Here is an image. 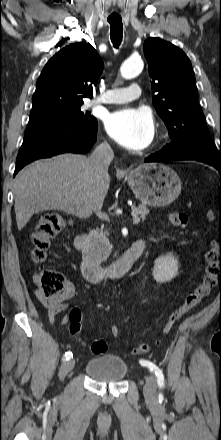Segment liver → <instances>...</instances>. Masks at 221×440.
Returning a JSON list of instances; mask_svg holds the SVG:
<instances>
[{"mask_svg":"<svg viewBox=\"0 0 221 440\" xmlns=\"http://www.w3.org/2000/svg\"><path fill=\"white\" fill-rule=\"evenodd\" d=\"M110 178L96 180L89 158L61 154L38 160L23 168L14 180L15 214L19 230L41 211L60 210L81 219L99 211Z\"/></svg>","mask_w":221,"mask_h":440,"instance_id":"obj_1","label":"liver"}]
</instances>
